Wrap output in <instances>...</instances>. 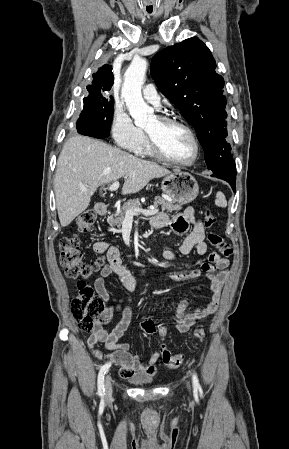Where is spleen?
<instances>
[{
    "instance_id": "1",
    "label": "spleen",
    "mask_w": 289,
    "mask_h": 449,
    "mask_svg": "<svg viewBox=\"0 0 289 449\" xmlns=\"http://www.w3.org/2000/svg\"><path fill=\"white\" fill-rule=\"evenodd\" d=\"M215 204L219 207L225 208L227 206V201L222 192L216 194Z\"/></svg>"
}]
</instances>
